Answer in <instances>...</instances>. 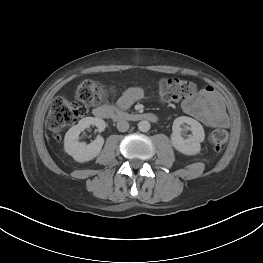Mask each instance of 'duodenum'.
<instances>
[{
	"label": "duodenum",
	"mask_w": 263,
	"mask_h": 263,
	"mask_svg": "<svg viewBox=\"0 0 263 263\" xmlns=\"http://www.w3.org/2000/svg\"><path fill=\"white\" fill-rule=\"evenodd\" d=\"M93 113L97 118L112 119L115 121H157V116L153 113H127L110 106L97 107Z\"/></svg>",
	"instance_id": "duodenum-1"
}]
</instances>
